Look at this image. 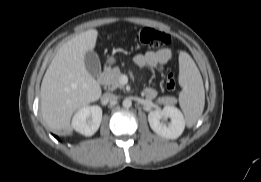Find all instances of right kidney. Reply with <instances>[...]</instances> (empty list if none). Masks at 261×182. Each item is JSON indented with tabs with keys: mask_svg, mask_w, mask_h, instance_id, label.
<instances>
[{
	"mask_svg": "<svg viewBox=\"0 0 261 182\" xmlns=\"http://www.w3.org/2000/svg\"><path fill=\"white\" fill-rule=\"evenodd\" d=\"M101 120L102 109L100 106H85L74 115L72 127L85 136H92L99 129Z\"/></svg>",
	"mask_w": 261,
	"mask_h": 182,
	"instance_id": "obj_1",
	"label": "right kidney"
}]
</instances>
